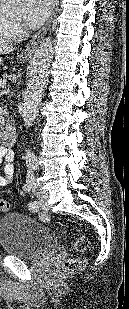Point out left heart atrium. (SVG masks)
Returning <instances> with one entry per match:
<instances>
[{"label": "left heart atrium", "mask_w": 129, "mask_h": 309, "mask_svg": "<svg viewBox=\"0 0 129 309\" xmlns=\"http://www.w3.org/2000/svg\"><path fill=\"white\" fill-rule=\"evenodd\" d=\"M52 0H24L23 21L31 29H36L47 19Z\"/></svg>", "instance_id": "1"}]
</instances>
